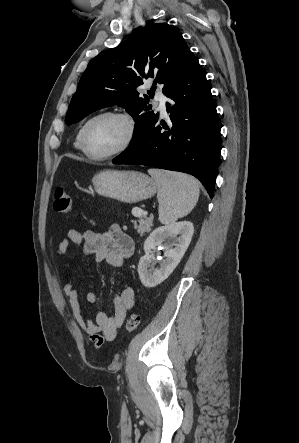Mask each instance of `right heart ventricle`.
Instances as JSON below:
<instances>
[{
	"instance_id": "right-heart-ventricle-1",
	"label": "right heart ventricle",
	"mask_w": 299,
	"mask_h": 443,
	"mask_svg": "<svg viewBox=\"0 0 299 443\" xmlns=\"http://www.w3.org/2000/svg\"><path fill=\"white\" fill-rule=\"evenodd\" d=\"M80 133H81V128L78 130L76 137H75V141H74V146L76 149L81 150L80 147Z\"/></svg>"
}]
</instances>
